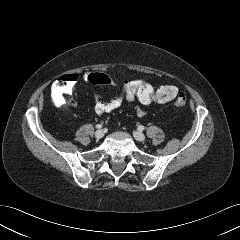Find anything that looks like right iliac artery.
<instances>
[{
    "instance_id": "82829eb1",
    "label": "right iliac artery",
    "mask_w": 240,
    "mask_h": 240,
    "mask_svg": "<svg viewBox=\"0 0 240 240\" xmlns=\"http://www.w3.org/2000/svg\"><path fill=\"white\" fill-rule=\"evenodd\" d=\"M96 128H97V129L102 128V124H97V125H96Z\"/></svg>"
}]
</instances>
